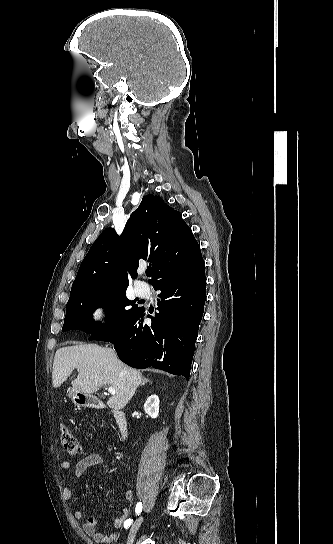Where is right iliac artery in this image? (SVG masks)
I'll list each match as a JSON object with an SVG mask.
<instances>
[{
	"mask_svg": "<svg viewBox=\"0 0 333 544\" xmlns=\"http://www.w3.org/2000/svg\"><path fill=\"white\" fill-rule=\"evenodd\" d=\"M142 510V503L141 502H138L137 505H136V514L139 515L140 512ZM132 524V520L131 519H128L125 523H124V527L127 529L130 527V525Z\"/></svg>",
	"mask_w": 333,
	"mask_h": 544,
	"instance_id": "obj_1",
	"label": "right iliac artery"
}]
</instances>
